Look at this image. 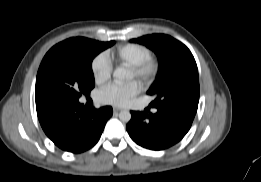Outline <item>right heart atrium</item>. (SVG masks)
I'll use <instances>...</instances> for the list:
<instances>
[{
	"label": "right heart atrium",
	"instance_id": "d8ad5b80",
	"mask_svg": "<svg viewBox=\"0 0 261 182\" xmlns=\"http://www.w3.org/2000/svg\"><path fill=\"white\" fill-rule=\"evenodd\" d=\"M113 65L106 53L98 54L92 61L91 70L94 81L98 85L106 83L112 73Z\"/></svg>",
	"mask_w": 261,
	"mask_h": 182
}]
</instances>
